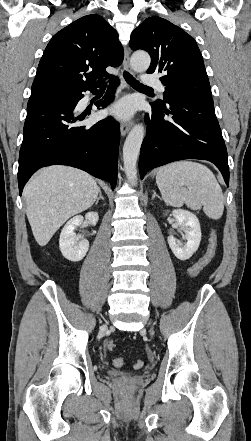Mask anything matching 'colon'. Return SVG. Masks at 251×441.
Wrapping results in <instances>:
<instances>
[{"instance_id": "5ec220e1", "label": "colon", "mask_w": 251, "mask_h": 441, "mask_svg": "<svg viewBox=\"0 0 251 441\" xmlns=\"http://www.w3.org/2000/svg\"><path fill=\"white\" fill-rule=\"evenodd\" d=\"M216 249H217V235L215 232H212L209 237V242L204 255L190 269L191 276L197 275L205 266H207L210 263V261L215 255ZM115 348H116L115 342L110 341L107 344L108 350L113 351ZM123 363L124 360L122 358H115L113 360V364L116 367L122 366ZM142 366H143L142 360L135 361L134 368L140 369Z\"/></svg>"}]
</instances>
